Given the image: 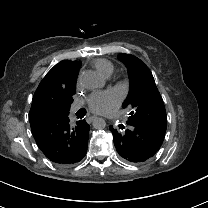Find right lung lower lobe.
I'll return each instance as SVG.
<instances>
[{
  "instance_id": "right-lung-lower-lobe-1",
  "label": "right lung lower lobe",
  "mask_w": 208,
  "mask_h": 208,
  "mask_svg": "<svg viewBox=\"0 0 208 208\" xmlns=\"http://www.w3.org/2000/svg\"><path fill=\"white\" fill-rule=\"evenodd\" d=\"M32 134L44 155L57 164H74L87 152L90 126L85 120L69 124L67 114H29Z\"/></svg>"
}]
</instances>
